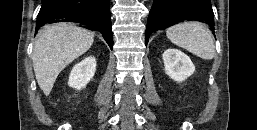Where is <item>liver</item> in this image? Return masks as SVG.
<instances>
[{"label":"liver","instance_id":"1","mask_svg":"<svg viewBox=\"0 0 257 130\" xmlns=\"http://www.w3.org/2000/svg\"><path fill=\"white\" fill-rule=\"evenodd\" d=\"M93 42L91 32L72 24L58 23L39 31L32 61L36 80L46 96L59 73L89 50Z\"/></svg>","mask_w":257,"mask_h":130}]
</instances>
